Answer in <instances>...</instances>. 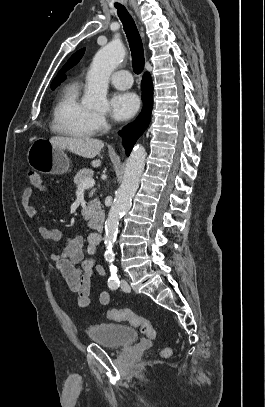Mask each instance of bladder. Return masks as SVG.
Instances as JSON below:
<instances>
[{
  "mask_svg": "<svg viewBox=\"0 0 265 407\" xmlns=\"http://www.w3.org/2000/svg\"><path fill=\"white\" fill-rule=\"evenodd\" d=\"M87 334L93 342L110 348L131 345L138 337L133 327L110 323L92 324L87 327Z\"/></svg>",
  "mask_w": 265,
  "mask_h": 407,
  "instance_id": "obj_1",
  "label": "bladder"
}]
</instances>
